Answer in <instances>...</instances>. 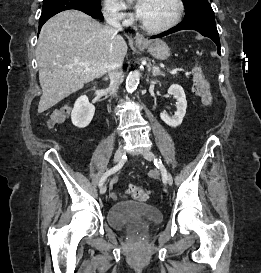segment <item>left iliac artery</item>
I'll use <instances>...</instances> for the list:
<instances>
[{
	"mask_svg": "<svg viewBox=\"0 0 261 273\" xmlns=\"http://www.w3.org/2000/svg\"><path fill=\"white\" fill-rule=\"evenodd\" d=\"M154 164L156 165L157 168H159L161 170L162 176H163V182L166 183L167 172H166V169H165L164 165L162 164L161 160L154 159Z\"/></svg>",
	"mask_w": 261,
	"mask_h": 273,
	"instance_id": "left-iliac-artery-1",
	"label": "left iliac artery"
}]
</instances>
